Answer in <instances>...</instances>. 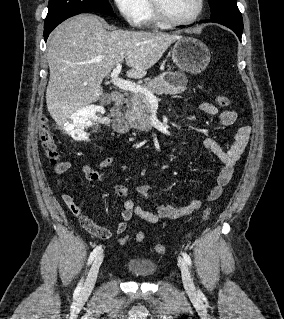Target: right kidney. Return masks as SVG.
Instances as JSON below:
<instances>
[{"instance_id":"obj_1","label":"right kidney","mask_w":284,"mask_h":319,"mask_svg":"<svg viewBox=\"0 0 284 319\" xmlns=\"http://www.w3.org/2000/svg\"><path fill=\"white\" fill-rule=\"evenodd\" d=\"M102 110L95 106H85L71 116V120L65 125L66 132L77 141L88 140L85 127L89 125L90 119Z\"/></svg>"}]
</instances>
